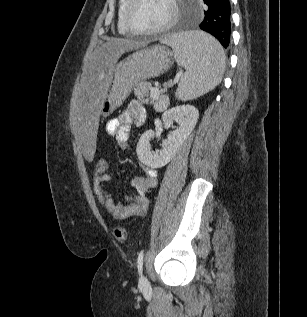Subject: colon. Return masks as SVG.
<instances>
[{"instance_id": "1", "label": "colon", "mask_w": 307, "mask_h": 317, "mask_svg": "<svg viewBox=\"0 0 307 317\" xmlns=\"http://www.w3.org/2000/svg\"><path fill=\"white\" fill-rule=\"evenodd\" d=\"M95 173L102 174L105 173L107 170V162L104 159H98L95 163ZM114 235L116 239L120 242H126L128 239L127 231L122 226H117L114 229Z\"/></svg>"}]
</instances>
